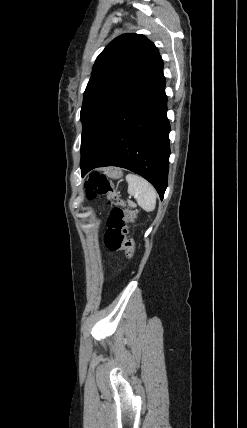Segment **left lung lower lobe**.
Instances as JSON below:
<instances>
[{"label":"left lung lower lobe","instance_id":"obj_1","mask_svg":"<svg viewBox=\"0 0 247 428\" xmlns=\"http://www.w3.org/2000/svg\"><path fill=\"white\" fill-rule=\"evenodd\" d=\"M166 112L162 71L106 122L80 163L82 176L96 167H123L148 180L163 199L170 155V125Z\"/></svg>","mask_w":247,"mask_h":428}]
</instances>
